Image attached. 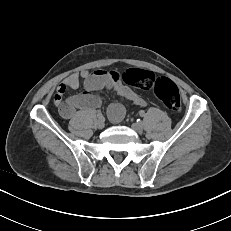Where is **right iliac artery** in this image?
I'll list each match as a JSON object with an SVG mask.
<instances>
[{
    "label": "right iliac artery",
    "mask_w": 231,
    "mask_h": 231,
    "mask_svg": "<svg viewBox=\"0 0 231 231\" xmlns=\"http://www.w3.org/2000/svg\"><path fill=\"white\" fill-rule=\"evenodd\" d=\"M97 117H98L99 119H103L102 113H98V114H97Z\"/></svg>",
    "instance_id": "obj_1"
}]
</instances>
